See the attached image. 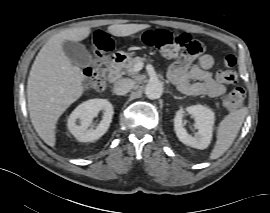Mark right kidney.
<instances>
[{"label":"right kidney","mask_w":270,"mask_h":213,"mask_svg":"<svg viewBox=\"0 0 270 213\" xmlns=\"http://www.w3.org/2000/svg\"><path fill=\"white\" fill-rule=\"evenodd\" d=\"M103 110L102 120L98 126L91 128V122ZM113 106L106 99H91L80 104L68 118V129L80 142H91L104 135L112 121ZM79 120V124H77Z\"/></svg>","instance_id":"right-kidney-1"}]
</instances>
